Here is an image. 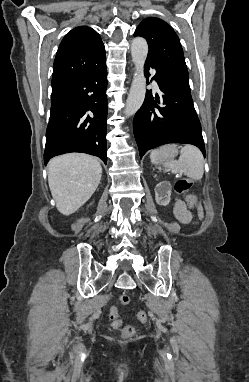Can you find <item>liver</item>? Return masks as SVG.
Here are the masks:
<instances>
[{
    "instance_id": "1",
    "label": "liver",
    "mask_w": 249,
    "mask_h": 382,
    "mask_svg": "<svg viewBox=\"0 0 249 382\" xmlns=\"http://www.w3.org/2000/svg\"><path fill=\"white\" fill-rule=\"evenodd\" d=\"M102 176V167L95 157L69 153L48 163V183L57 210L71 215L95 192Z\"/></svg>"
}]
</instances>
